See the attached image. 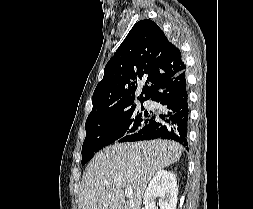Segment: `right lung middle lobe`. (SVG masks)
<instances>
[{
	"label": "right lung middle lobe",
	"instance_id": "obj_1",
	"mask_svg": "<svg viewBox=\"0 0 253 209\" xmlns=\"http://www.w3.org/2000/svg\"><path fill=\"white\" fill-rule=\"evenodd\" d=\"M150 116L144 111L141 103V107L136 105L123 111L87 118L86 138L82 146V165H85L97 151L115 140L125 142L147 124Z\"/></svg>",
	"mask_w": 253,
	"mask_h": 209
}]
</instances>
